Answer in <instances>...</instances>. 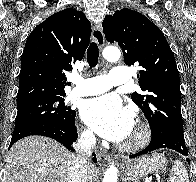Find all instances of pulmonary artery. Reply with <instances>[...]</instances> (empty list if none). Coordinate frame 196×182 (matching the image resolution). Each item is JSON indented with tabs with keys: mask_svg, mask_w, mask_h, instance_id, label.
<instances>
[{
	"mask_svg": "<svg viewBox=\"0 0 196 182\" xmlns=\"http://www.w3.org/2000/svg\"><path fill=\"white\" fill-rule=\"evenodd\" d=\"M130 70L124 67H113L109 75H99L75 80L71 90L73 96H91L102 94L114 86L129 82Z\"/></svg>",
	"mask_w": 196,
	"mask_h": 182,
	"instance_id": "1",
	"label": "pulmonary artery"
}]
</instances>
